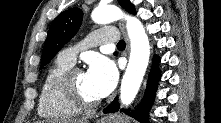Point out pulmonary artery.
I'll list each match as a JSON object with an SVG mask.
<instances>
[{"instance_id":"pulmonary-artery-1","label":"pulmonary artery","mask_w":221,"mask_h":123,"mask_svg":"<svg viewBox=\"0 0 221 123\" xmlns=\"http://www.w3.org/2000/svg\"><path fill=\"white\" fill-rule=\"evenodd\" d=\"M118 40V33L114 28H102L92 32L87 44L67 48L60 52L59 57L71 64H74L78 51L85 46H95L98 44L113 43Z\"/></svg>"}]
</instances>
